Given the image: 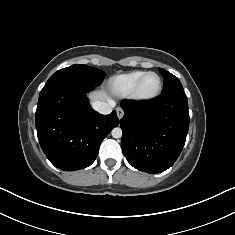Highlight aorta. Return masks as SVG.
Returning <instances> with one entry per match:
<instances>
[{
	"instance_id": "762f6f07",
	"label": "aorta",
	"mask_w": 235,
	"mask_h": 235,
	"mask_svg": "<svg viewBox=\"0 0 235 235\" xmlns=\"http://www.w3.org/2000/svg\"><path fill=\"white\" fill-rule=\"evenodd\" d=\"M114 138H121L122 136V129L120 127H116L111 132Z\"/></svg>"
}]
</instances>
